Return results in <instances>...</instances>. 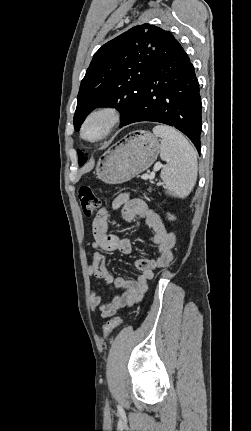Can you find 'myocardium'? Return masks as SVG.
<instances>
[{
	"label": "myocardium",
	"mask_w": 251,
	"mask_h": 431,
	"mask_svg": "<svg viewBox=\"0 0 251 431\" xmlns=\"http://www.w3.org/2000/svg\"><path fill=\"white\" fill-rule=\"evenodd\" d=\"M121 120L120 112L113 107L103 106L91 110L83 119L79 135L82 140L89 143H97L108 137L111 132L118 126ZM94 121L101 122L102 128L100 133L95 137H88L86 129Z\"/></svg>",
	"instance_id": "1"
}]
</instances>
